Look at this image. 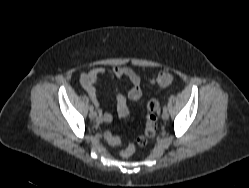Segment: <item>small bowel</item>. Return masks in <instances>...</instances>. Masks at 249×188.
Segmentation results:
<instances>
[{
    "instance_id": "obj_1",
    "label": "small bowel",
    "mask_w": 249,
    "mask_h": 188,
    "mask_svg": "<svg viewBox=\"0 0 249 188\" xmlns=\"http://www.w3.org/2000/svg\"><path fill=\"white\" fill-rule=\"evenodd\" d=\"M101 76H108L112 79L118 80L124 78L127 79L130 82V87L127 91V96L134 102H138L142 98L141 78L133 69L124 66H117L111 70L97 67L81 76V86L86 90V92L89 94L92 101L97 107V121L99 123H109L113 119L112 114L104 112L101 109L100 102L97 98L96 82ZM116 101L119 116L122 118L128 117L130 114V109L127 104L126 96L123 93L116 91Z\"/></svg>"
}]
</instances>
